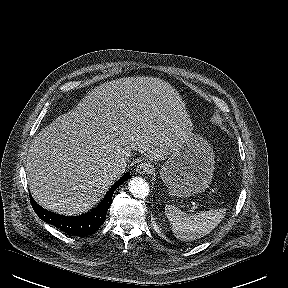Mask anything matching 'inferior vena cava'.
Masks as SVG:
<instances>
[{
    "label": "inferior vena cava",
    "instance_id": "602c4592",
    "mask_svg": "<svg viewBox=\"0 0 288 288\" xmlns=\"http://www.w3.org/2000/svg\"><path fill=\"white\" fill-rule=\"evenodd\" d=\"M127 167V160L125 158H121L115 160L110 166V173L116 175L117 173H123Z\"/></svg>",
    "mask_w": 288,
    "mask_h": 288
}]
</instances>
